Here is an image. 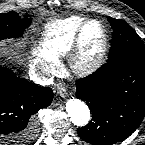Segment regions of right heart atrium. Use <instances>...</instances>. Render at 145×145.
<instances>
[{"label":"right heart atrium","mask_w":145,"mask_h":145,"mask_svg":"<svg viewBox=\"0 0 145 145\" xmlns=\"http://www.w3.org/2000/svg\"><path fill=\"white\" fill-rule=\"evenodd\" d=\"M35 63L45 76H53L60 67L58 61L42 57L39 53L35 56Z\"/></svg>","instance_id":"right-heart-atrium-1"}]
</instances>
